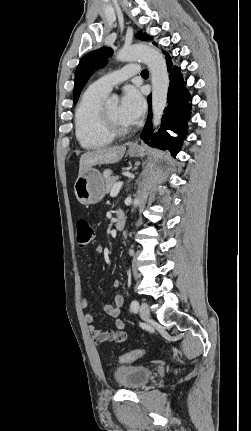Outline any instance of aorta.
<instances>
[{
    "mask_svg": "<svg viewBox=\"0 0 251 431\" xmlns=\"http://www.w3.org/2000/svg\"><path fill=\"white\" fill-rule=\"evenodd\" d=\"M116 59L123 62L139 60L148 66L152 80V123L156 129L161 123L167 104L169 75L165 59L156 49L147 45H134L122 48L117 52ZM139 193L140 191H138V195L134 198L133 205L135 208L140 203Z\"/></svg>",
    "mask_w": 251,
    "mask_h": 431,
    "instance_id": "aorta-1",
    "label": "aorta"
}]
</instances>
